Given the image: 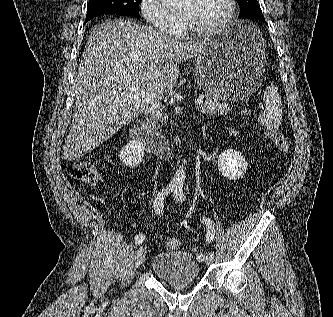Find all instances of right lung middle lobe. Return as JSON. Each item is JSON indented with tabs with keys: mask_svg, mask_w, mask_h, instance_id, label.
<instances>
[{
	"mask_svg": "<svg viewBox=\"0 0 333 317\" xmlns=\"http://www.w3.org/2000/svg\"><path fill=\"white\" fill-rule=\"evenodd\" d=\"M141 0H89L86 20L107 13L123 14L139 18Z\"/></svg>",
	"mask_w": 333,
	"mask_h": 317,
	"instance_id": "dd1d6c3e",
	"label": "right lung middle lobe"
}]
</instances>
